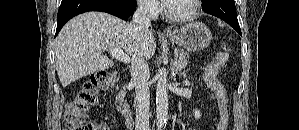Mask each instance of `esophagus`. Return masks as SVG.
Instances as JSON below:
<instances>
[{"instance_id": "obj_1", "label": "esophagus", "mask_w": 299, "mask_h": 130, "mask_svg": "<svg viewBox=\"0 0 299 130\" xmlns=\"http://www.w3.org/2000/svg\"><path fill=\"white\" fill-rule=\"evenodd\" d=\"M165 32H166V33H170V32H171V30H170V29H167V30H165Z\"/></svg>"}]
</instances>
